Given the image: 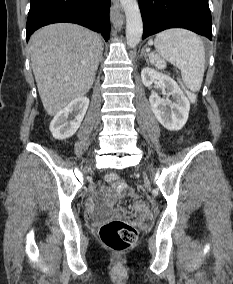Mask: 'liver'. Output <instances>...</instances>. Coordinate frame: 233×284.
Masks as SVG:
<instances>
[{
    "instance_id": "obj_1",
    "label": "liver",
    "mask_w": 233,
    "mask_h": 284,
    "mask_svg": "<svg viewBox=\"0 0 233 284\" xmlns=\"http://www.w3.org/2000/svg\"><path fill=\"white\" fill-rule=\"evenodd\" d=\"M29 44L38 92L48 115H56L90 90L103 49L97 33L56 23L39 29Z\"/></svg>"
}]
</instances>
